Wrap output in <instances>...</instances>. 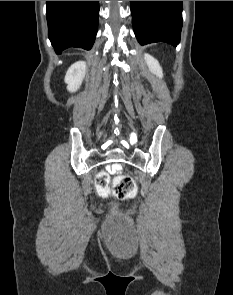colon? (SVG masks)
<instances>
[{
	"instance_id": "obj_1",
	"label": "colon",
	"mask_w": 233,
	"mask_h": 295,
	"mask_svg": "<svg viewBox=\"0 0 233 295\" xmlns=\"http://www.w3.org/2000/svg\"><path fill=\"white\" fill-rule=\"evenodd\" d=\"M95 186L103 196H113L117 199H130L137 193V185L130 176L121 175L111 182L106 172H100L95 178Z\"/></svg>"
}]
</instances>
